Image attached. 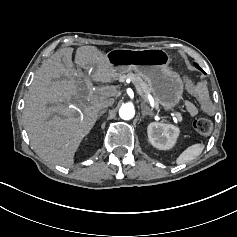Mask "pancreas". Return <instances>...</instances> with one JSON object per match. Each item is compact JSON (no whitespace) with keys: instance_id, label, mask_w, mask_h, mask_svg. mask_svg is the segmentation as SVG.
<instances>
[{"instance_id":"obj_1","label":"pancreas","mask_w":237,"mask_h":237,"mask_svg":"<svg viewBox=\"0 0 237 237\" xmlns=\"http://www.w3.org/2000/svg\"><path fill=\"white\" fill-rule=\"evenodd\" d=\"M124 77L125 79L129 78L131 79L132 83L133 84H137V86L139 87L138 89L141 90V92L145 95V97L147 98V96L152 92L149 85L143 81V79L137 75V74H134V73H128L127 75H124L122 76ZM137 89V88H136ZM139 93V92H138ZM144 99V98H143ZM146 103H148V98L146 99ZM149 108V107H148ZM155 108L158 109L159 108V104L158 102L155 103ZM150 112L152 113V109H150Z\"/></svg>"}]
</instances>
